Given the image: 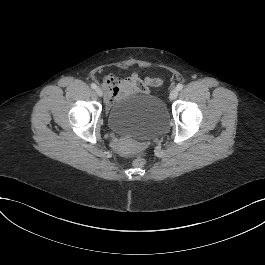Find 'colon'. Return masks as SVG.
<instances>
[{"label":"colon","instance_id":"1","mask_svg":"<svg viewBox=\"0 0 265 265\" xmlns=\"http://www.w3.org/2000/svg\"><path fill=\"white\" fill-rule=\"evenodd\" d=\"M145 163H146V159H145L143 156H139V157H137V158L134 160V162H133V164H134V166H135L136 168H141V167H143V166L145 165Z\"/></svg>","mask_w":265,"mask_h":265}]
</instances>
